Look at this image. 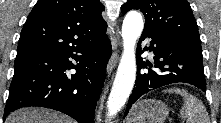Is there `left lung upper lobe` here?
<instances>
[{
  "label": "left lung upper lobe",
  "mask_w": 221,
  "mask_h": 123,
  "mask_svg": "<svg viewBox=\"0 0 221 123\" xmlns=\"http://www.w3.org/2000/svg\"><path fill=\"white\" fill-rule=\"evenodd\" d=\"M139 9L145 16L144 31L177 44L201 48L196 20L187 0H128L122 13Z\"/></svg>",
  "instance_id": "obj_1"
}]
</instances>
